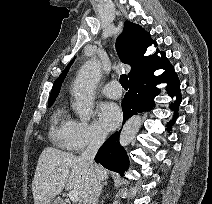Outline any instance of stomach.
<instances>
[{"label": "stomach", "instance_id": "obj_1", "mask_svg": "<svg viewBox=\"0 0 212 204\" xmlns=\"http://www.w3.org/2000/svg\"><path fill=\"white\" fill-rule=\"evenodd\" d=\"M47 204H61L58 199H52Z\"/></svg>", "mask_w": 212, "mask_h": 204}]
</instances>
